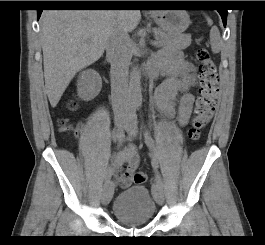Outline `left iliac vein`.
<instances>
[{
	"label": "left iliac vein",
	"mask_w": 265,
	"mask_h": 245,
	"mask_svg": "<svg viewBox=\"0 0 265 245\" xmlns=\"http://www.w3.org/2000/svg\"><path fill=\"white\" fill-rule=\"evenodd\" d=\"M126 132L128 134L129 137H136L137 136V122L135 119H130L127 123H126ZM153 196L155 201L158 204H163L164 202V191L162 187H156L155 191H153Z\"/></svg>",
	"instance_id": "4c4485c4"
}]
</instances>
